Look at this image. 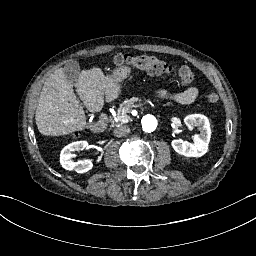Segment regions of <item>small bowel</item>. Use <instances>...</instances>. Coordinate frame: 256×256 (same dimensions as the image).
Returning a JSON list of instances; mask_svg holds the SVG:
<instances>
[{
    "mask_svg": "<svg viewBox=\"0 0 256 256\" xmlns=\"http://www.w3.org/2000/svg\"><path fill=\"white\" fill-rule=\"evenodd\" d=\"M158 96L167 99L172 100L179 104H190L192 103L198 96V89L194 86H189L185 90L180 92H169L167 90H159Z\"/></svg>",
    "mask_w": 256,
    "mask_h": 256,
    "instance_id": "obj_1",
    "label": "small bowel"
}]
</instances>
